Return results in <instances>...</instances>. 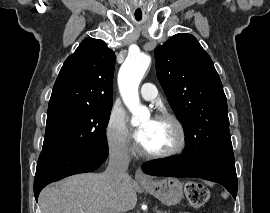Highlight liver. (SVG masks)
<instances>
[{
  "instance_id": "obj_1",
  "label": "liver",
  "mask_w": 270,
  "mask_h": 213,
  "mask_svg": "<svg viewBox=\"0 0 270 213\" xmlns=\"http://www.w3.org/2000/svg\"><path fill=\"white\" fill-rule=\"evenodd\" d=\"M136 186L130 176L120 185L104 173L79 174L56 186H48L39 196L42 213H121L135 207Z\"/></svg>"
}]
</instances>
